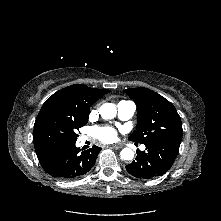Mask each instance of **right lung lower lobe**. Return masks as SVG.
Returning <instances> with one entry per match:
<instances>
[{
	"instance_id": "98d812e1",
	"label": "right lung lower lobe",
	"mask_w": 221,
	"mask_h": 221,
	"mask_svg": "<svg viewBox=\"0 0 221 221\" xmlns=\"http://www.w3.org/2000/svg\"><path fill=\"white\" fill-rule=\"evenodd\" d=\"M101 148L82 151L74 144L61 146L37 155L43 169L51 176L71 180L86 174L95 164Z\"/></svg>"
}]
</instances>
